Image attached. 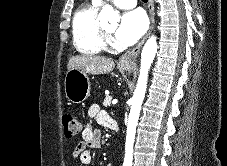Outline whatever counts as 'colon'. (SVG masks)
Segmentation results:
<instances>
[{
  "label": "colon",
  "mask_w": 227,
  "mask_h": 166,
  "mask_svg": "<svg viewBox=\"0 0 227 166\" xmlns=\"http://www.w3.org/2000/svg\"><path fill=\"white\" fill-rule=\"evenodd\" d=\"M64 134L67 138H72L80 132V122L75 115H64L62 119Z\"/></svg>",
  "instance_id": "5ec220e1"
}]
</instances>
